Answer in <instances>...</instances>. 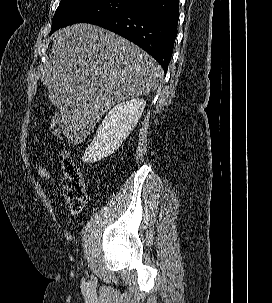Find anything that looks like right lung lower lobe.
Returning <instances> with one entry per match:
<instances>
[{"mask_svg": "<svg viewBox=\"0 0 272 303\" xmlns=\"http://www.w3.org/2000/svg\"><path fill=\"white\" fill-rule=\"evenodd\" d=\"M178 5L179 0H147L91 24L132 41L156 59L167 72L177 36Z\"/></svg>", "mask_w": 272, "mask_h": 303, "instance_id": "1", "label": "right lung lower lobe"}]
</instances>
